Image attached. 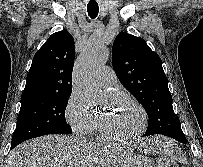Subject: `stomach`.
<instances>
[{
    "instance_id": "stomach-1",
    "label": "stomach",
    "mask_w": 203,
    "mask_h": 167,
    "mask_svg": "<svg viewBox=\"0 0 203 167\" xmlns=\"http://www.w3.org/2000/svg\"><path fill=\"white\" fill-rule=\"evenodd\" d=\"M146 152H151L150 149L146 148ZM120 167H155L153 162L145 156H131L129 160L124 162Z\"/></svg>"
}]
</instances>
